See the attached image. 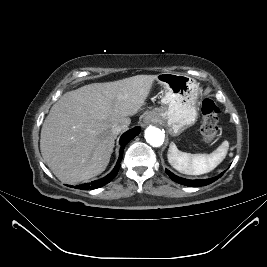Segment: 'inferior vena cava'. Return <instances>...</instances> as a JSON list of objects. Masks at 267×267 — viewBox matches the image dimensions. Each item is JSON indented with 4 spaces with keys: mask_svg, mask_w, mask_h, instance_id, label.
<instances>
[{
    "mask_svg": "<svg viewBox=\"0 0 267 267\" xmlns=\"http://www.w3.org/2000/svg\"><path fill=\"white\" fill-rule=\"evenodd\" d=\"M129 126L128 122H121L113 125L112 131L114 134H119L122 131H125Z\"/></svg>",
    "mask_w": 267,
    "mask_h": 267,
    "instance_id": "obj_1",
    "label": "inferior vena cava"
}]
</instances>
